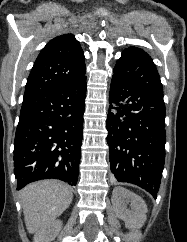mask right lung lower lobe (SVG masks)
I'll use <instances>...</instances> for the list:
<instances>
[{
	"label": "right lung lower lobe",
	"mask_w": 187,
	"mask_h": 242,
	"mask_svg": "<svg viewBox=\"0 0 187 242\" xmlns=\"http://www.w3.org/2000/svg\"><path fill=\"white\" fill-rule=\"evenodd\" d=\"M86 76L62 88L23 99L14 142L17 189L55 178L78 180Z\"/></svg>",
	"instance_id": "obj_1"
}]
</instances>
